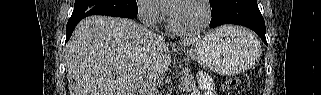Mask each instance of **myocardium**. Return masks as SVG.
Listing matches in <instances>:
<instances>
[{"mask_svg": "<svg viewBox=\"0 0 321 95\" xmlns=\"http://www.w3.org/2000/svg\"><path fill=\"white\" fill-rule=\"evenodd\" d=\"M184 3H196L199 5L202 9L203 13V19L201 24L194 28V29H189V30H182L176 28L171 20V17L169 16L167 19V28L170 32L179 35V36H194L202 33L204 29L209 25L211 19H212V10L210 7V4L207 0H182L178 3L177 6L184 4ZM176 8V7H173ZM170 15V14H169Z\"/></svg>", "mask_w": 321, "mask_h": 95, "instance_id": "myocardium-1", "label": "myocardium"}]
</instances>
